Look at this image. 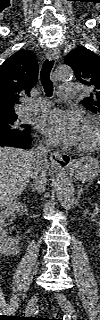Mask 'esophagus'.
I'll return each instance as SVG.
<instances>
[{
    "label": "esophagus",
    "mask_w": 100,
    "mask_h": 320,
    "mask_svg": "<svg viewBox=\"0 0 100 320\" xmlns=\"http://www.w3.org/2000/svg\"><path fill=\"white\" fill-rule=\"evenodd\" d=\"M58 57L59 55L57 50L49 51L46 54V59H49V60L56 61ZM50 161L53 167L67 168L71 164L72 159L69 155L61 154L59 152H52L50 155Z\"/></svg>",
    "instance_id": "34e87169"
}]
</instances>
